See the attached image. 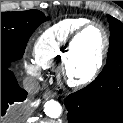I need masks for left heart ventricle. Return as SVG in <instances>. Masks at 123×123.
Wrapping results in <instances>:
<instances>
[{
  "label": "left heart ventricle",
  "mask_w": 123,
  "mask_h": 123,
  "mask_svg": "<svg viewBox=\"0 0 123 123\" xmlns=\"http://www.w3.org/2000/svg\"><path fill=\"white\" fill-rule=\"evenodd\" d=\"M103 43L102 32L96 26L90 27L81 36L75 48V67L79 73H85L93 66Z\"/></svg>",
  "instance_id": "1"
}]
</instances>
